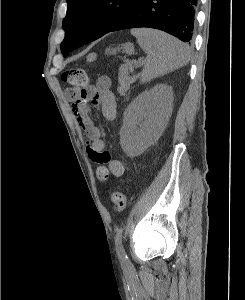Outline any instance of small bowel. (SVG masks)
<instances>
[{"label":"small bowel","mask_w":245,"mask_h":300,"mask_svg":"<svg viewBox=\"0 0 245 300\" xmlns=\"http://www.w3.org/2000/svg\"><path fill=\"white\" fill-rule=\"evenodd\" d=\"M110 87V79L102 76L97 79L94 85L84 90L78 101L72 105V111L87 141L88 157L99 164L94 165L93 170L97 172V180L101 184H106L110 175L119 178L125 173L123 163L112 158L110 153L106 151L105 141L100 129L94 123L90 110V104H92L105 119L109 121L116 119L117 105Z\"/></svg>","instance_id":"1"}]
</instances>
